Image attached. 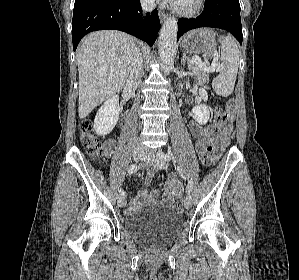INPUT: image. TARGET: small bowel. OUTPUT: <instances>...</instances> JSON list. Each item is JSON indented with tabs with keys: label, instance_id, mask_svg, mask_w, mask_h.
<instances>
[{
	"label": "small bowel",
	"instance_id": "obj_1",
	"mask_svg": "<svg viewBox=\"0 0 299 280\" xmlns=\"http://www.w3.org/2000/svg\"><path fill=\"white\" fill-rule=\"evenodd\" d=\"M191 134L195 137V149L201 156L202 153L210 148L212 151L211 163L216 160L222 151L227 147L232 132V125L228 124L222 130L216 131L213 125L202 126L192 121L190 123ZM115 147V141L109 139L104 145V154L109 157L112 155ZM155 177V173L150 171L144 179L145 185H150ZM182 185L174 175H171L165 184L162 199L157 200L158 192H147L142 189L138 192L135 199L131 201L130 207L126 213L131 215L136 213L143 206H170L182 194Z\"/></svg>",
	"mask_w": 299,
	"mask_h": 280
}]
</instances>
